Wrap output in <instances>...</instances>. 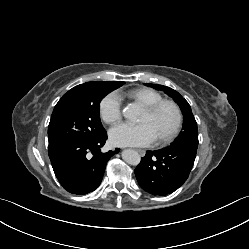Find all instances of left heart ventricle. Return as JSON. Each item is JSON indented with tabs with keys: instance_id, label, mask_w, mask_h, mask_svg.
<instances>
[{
	"instance_id": "left-heart-ventricle-1",
	"label": "left heart ventricle",
	"mask_w": 249,
	"mask_h": 249,
	"mask_svg": "<svg viewBox=\"0 0 249 249\" xmlns=\"http://www.w3.org/2000/svg\"><path fill=\"white\" fill-rule=\"evenodd\" d=\"M140 123H148L156 138L166 134L175 122L174 111L170 107H163L155 114H149L144 109L139 118Z\"/></svg>"
}]
</instances>
